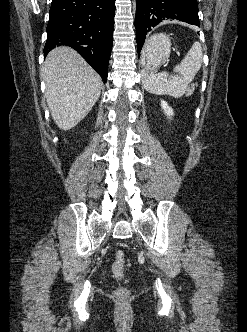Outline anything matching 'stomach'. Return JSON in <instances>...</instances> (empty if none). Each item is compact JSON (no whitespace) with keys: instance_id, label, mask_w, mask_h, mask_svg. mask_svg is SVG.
I'll return each mask as SVG.
<instances>
[{"instance_id":"1","label":"stomach","mask_w":247,"mask_h":332,"mask_svg":"<svg viewBox=\"0 0 247 332\" xmlns=\"http://www.w3.org/2000/svg\"><path fill=\"white\" fill-rule=\"evenodd\" d=\"M170 52V38L165 34L153 35L145 43L141 64L147 72H155L168 60Z\"/></svg>"}]
</instances>
